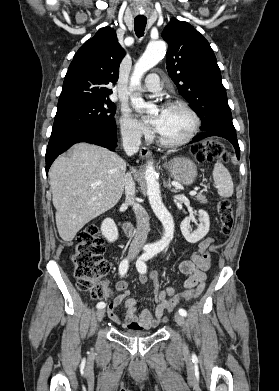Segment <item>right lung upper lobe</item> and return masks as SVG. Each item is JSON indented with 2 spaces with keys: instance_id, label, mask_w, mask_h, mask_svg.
Returning <instances> with one entry per match:
<instances>
[{
  "instance_id": "1",
  "label": "right lung upper lobe",
  "mask_w": 279,
  "mask_h": 391,
  "mask_svg": "<svg viewBox=\"0 0 279 391\" xmlns=\"http://www.w3.org/2000/svg\"><path fill=\"white\" fill-rule=\"evenodd\" d=\"M125 51L110 27L99 29L76 52L66 73L57 109L77 103L109 99L107 85L115 84Z\"/></svg>"
}]
</instances>
